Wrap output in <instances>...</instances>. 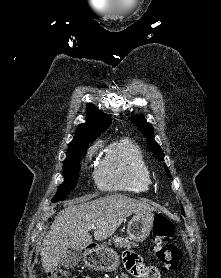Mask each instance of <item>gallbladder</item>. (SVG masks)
Instances as JSON below:
<instances>
[{
	"mask_svg": "<svg viewBox=\"0 0 221 278\" xmlns=\"http://www.w3.org/2000/svg\"><path fill=\"white\" fill-rule=\"evenodd\" d=\"M82 258L81 250L69 249L67 254L62 258V266L66 268H72L79 264Z\"/></svg>",
	"mask_w": 221,
	"mask_h": 278,
	"instance_id": "1",
	"label": "gallbladder"
}]
</instances>
